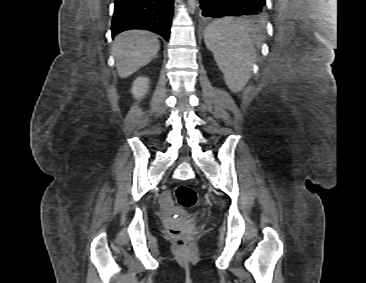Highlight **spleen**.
Listing matches in <instances>:
<instances>
[{
  "label": "spleen",
  "instance_id": "3e777b00",
  "mask_svg": "<svg viewBox=\"0 0 366 283\" xmlns=\"http://www.w3.org/2000/svg\"><path fill=\"white\" fill-rule=\"evenodd\" d=\"M256 36V26L245 19H219L206 27L205 44L234 92L241 91L250 78L256 59Z\"/></svg>",
  "mask_w": 366,
  "mask_h": 283
}]
</instances>
